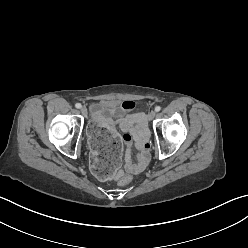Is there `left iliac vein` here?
I'll list each match as a JSON object with an SVG mask.
<instances>
[{
	"instance_id": "4c4485c4",
	"label": "left iliac vein",
	"mask_w": 248,
	"mask_h": 248,
	"mask_svg": "<svg viewBox=\"0 0 248 248\" xmlns=\"http://www.w3.org/2000/svg\"><path fill=\"white\" fill-rule=\"evenodd\" d=\"M155 115H156V112H155V111H151V112L148 114V120L154 119Z\"/></svg>"
}]
</instances>
